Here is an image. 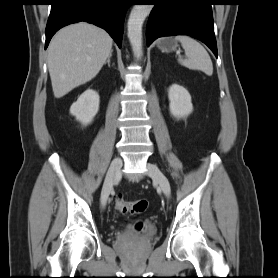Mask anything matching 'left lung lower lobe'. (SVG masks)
<instances>
[{
	"mask_svg": "<svg viewBox=\"0 0 278 278\" xmlns=\"http://www.w3.org/2000/svg\"><path fill=\"white\" fill-rule=\"evenodd\" d=\"M154 4L147 23V45L162 36L189 35L205 43L217 57L213 0H150Z\"/></svg>",
	"mask_w": 278,
	"mask_h": 278,
	"instance_id": "1",
	"label": "left lung lower lobe"
}]
</instances>
